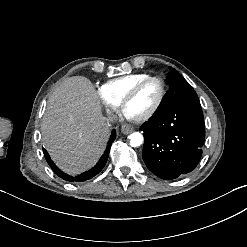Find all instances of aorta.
<instances>
[{
    "mask_svg": "<svg viewBox=\"0 0 247 247\" xmlns=\"http://www.w3.org/2000/svg\"><path fill=\"white\" fill-rule=\"evenodd\" d=\"M130 145L132 147H138L143 143V135L139 132H133L129 135Z\"/></svg>",
    "mask_w": 247,
    "mask_h": 247,
    "instance_id": "762f6f07",
    "label": "aorta"
}]
</instances>
